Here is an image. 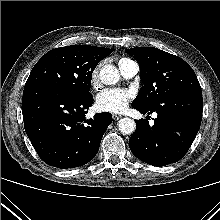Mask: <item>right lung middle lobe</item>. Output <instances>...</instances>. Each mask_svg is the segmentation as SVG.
Masks as SVG:
<instances>
[{"instance_id":"right-lung-middle-lobe-1","label":"right lung middle lobe","mask_w":220,"mask_h":220,"mask_svg":"<svg viewBox=\"0 0 220 220\" xmlns=\"http://www.w3.org/2000/svg\"><path fill=\"white\" fill-rule=\"evenodd\" d=\"M100 61L79 45L50 50L33 67L24 89L44 87L76 96L89 95L92 73Z\"/></svg>"}]
</instances>
